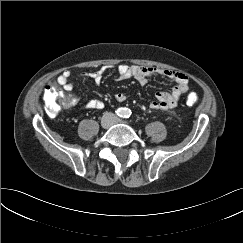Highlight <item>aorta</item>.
<instances>
[{
  "mask_svg": "<svg viewBox=\"0 0 243 243\" xmlns=\"http://www.w3.org/2000/svg\"><path fill=\"white\" fill-rule=\"evenodd\" d=\"M121 115H122V116H126V115H128L127 110H123V111L121 112Z\"/></svg>",
  "mask_w": 243,
  "mask_h": 243,
  "instance_id": "aorta-1",
  "label": "aorta"
}]
</instances>
